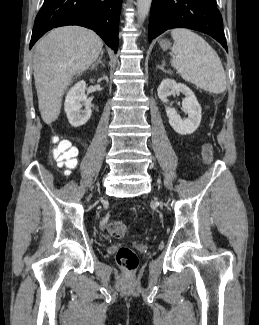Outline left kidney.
<instances>
[{
	"label": "left kidney",
	"mask_w": 259,
	"mask_h": 325,
	"mask_svg": "<svg viewBox=\"0 0 259 325\" xmlns=\"http://www.w3.org/2000/svg\"><path fill=\"white\" fill-rule=\"evenodd\" d=\"M158 97L167 104L168 96L173 93H182L185 98L182 100V107L188 114V118L181 119L174 108L166 107V114L169 118V124L175 132L181 135L192 134L196 131L201 122V106L199 105L194 93L186 85L176 83L171 79H164L159 85Z\"/></svg>",
	"instance_id": "5707ae66"
}]
</instances>
